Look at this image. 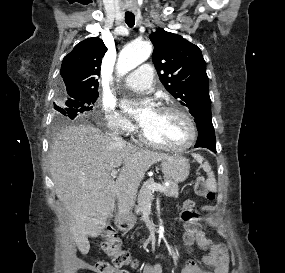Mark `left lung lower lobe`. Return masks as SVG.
I'll return each instance as SVG.
<instances>
[{"label":"left lung lower lobe","instance_id":"left-lung-lower-lobe-1","mask_svg":"<svg viewBox=\"0 0 285 273\" xmlns=\"http://www.w3.org/2000/svg\"><path fill=\"white\" fill-rule=\"evenodd\" d=\"M195 122L198 128V139L195 147H203L215 151L216 138L212 124V117H203Z\"/></svg>","mask_w":285,"mask_h":273}]
</instances>
